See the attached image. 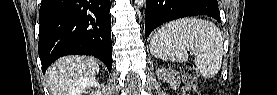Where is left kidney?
<instances>
[{"label":"left kidney","mask_w":277,"mask_h":95,"mask_svg":"<svg viewBox=\"0 0 277 95\" xmlns=\"http://www.w3.org/2000/svg\"><path fill=\"white\" fill-rule=\"evenodd\" d=\"M157 74L167 83H170L171 86H175L178 82L176 79L177 74L171 70L160 68L157 71Z\"/></svg>","instance_id":"left-kidney-1"}]
</instances>
